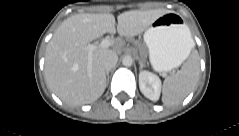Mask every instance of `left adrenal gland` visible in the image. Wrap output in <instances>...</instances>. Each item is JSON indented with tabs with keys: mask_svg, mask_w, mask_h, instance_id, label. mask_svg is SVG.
I'll list each match as a JSON object with an SVG mask.
<instances>
[{
	"mask_svg": "<svg viewBox=\"0 0 239 136\" xmlns=\"http://www.w3.org/2000/svg\"><path fill=\"white\" fill-rule=\"evenodd\" d=\"M139 64H140V70L143 68V66H144V63H143V61H139Z\"/></svg>",
	"mask_w": 239,
	"mask_h": 136,
	"instance_id": "a2214340",
	"label": "left adrenal gland"
}]
</instances>
